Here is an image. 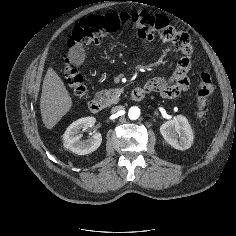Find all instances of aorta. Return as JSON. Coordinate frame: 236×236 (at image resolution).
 <instances>
[{
    "instance_id": "1",
    "label": "aorta",
    "mask_w": 236,
    "mask_h": 236,
    "mask_svg": "<svg viewBox=\"0 0 236 236\" xmlns=\"http://www.w3.org/2000/svg\"><path fill=\"white\" fill-rule=\"evenodd\" d=\"M140 116V109L136 106H133L129 109L128 111V117L131 119V120H136L138 119Z\"/></svg>"
}]
</instances>
